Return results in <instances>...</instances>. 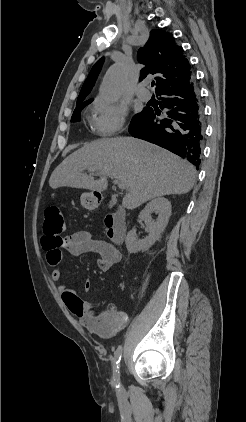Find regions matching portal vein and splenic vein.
<instances>
[{
    "label": "portal vein and splenic vein",
    "instance_id": "portal-vein-and-splenic-vein-1",
    "mask_svg": "<svg viewBox=\"0 0 246 422\" xmlns=\"http://www.w3.org/2000/svg\"><path fill=\"white\" fill-rule=\"evenodd\" d=\"M92 172H93V173H96V171H95V170H92ZM96 174H99V173H96ZM114 183H115V184H117V186H118L120 189H122V190H123V189H125V184H124L123 182L118 181V180H115V181H114Z\"/></svg>",
    "mask_w": 246,
    "mask_h": 422
}]
</instances>
